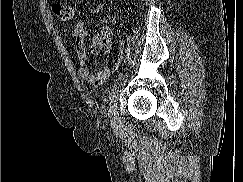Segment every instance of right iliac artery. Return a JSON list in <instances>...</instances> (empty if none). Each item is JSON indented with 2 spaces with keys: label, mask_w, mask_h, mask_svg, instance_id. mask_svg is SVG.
<instances>
[{
  "label": "right iliac artery",
  "mask_w": 243,
  "mask_h": 182,
  "mask_svg": "<svg viewBox=\"0 0 243 182\" xmlns=\"http://www.w3.org/2000/svg\"><path fill=\"white\" fill-rule=\"evenodd\" d=\"M123 73H120V75L118 76V78L114 81V84L110 90V94H109V99L110 101H112V99L115 97V93L118 89V85L122 79Z\"/></svg>",
  "instance_id": "obj_1"
}]
</instances>
